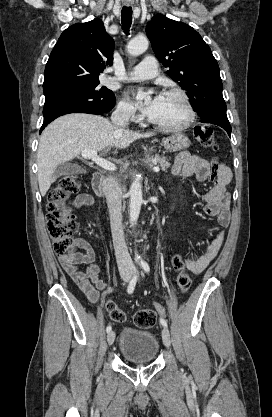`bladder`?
<instances>
[{
  "mask_svg": "<svg viewBox=\"0 0 272 417\" xmlns=\"http://www.w3.org/2000/svg\"><path fill=\"white\" fill-rule=\"evenodd\" d=\"M159 348V341L151 332L126 327L121 333L119 350L122 357L130 363L144 364L154 361Z\"/></svg>",
  "mask_w": 272,
  "mask_h": 417,
  "instance_id": "obj_1",
  "label": "bladder"
}]
</instances>
